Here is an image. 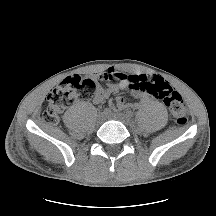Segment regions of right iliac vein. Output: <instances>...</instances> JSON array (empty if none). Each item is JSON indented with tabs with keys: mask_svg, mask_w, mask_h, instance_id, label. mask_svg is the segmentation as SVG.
<instances>
[{
	"mask_svg": "<svg viewBox=\"0 0 216 216\" xmlns=\"http://www.w3.org/2000/svg\"><path fill=\"white\" fill-rule=\"evenodd\" d=\"M106 116L107 115L105 113H103V112L99 113L98 116H97L98 122L100 124H102L106 120Z\"/></svg>",
	"mask_w": 216,
	"mask_h": 216,
	"instance_id": "obj_1",
	"label": "right iliac vein"
}]
</instances>
